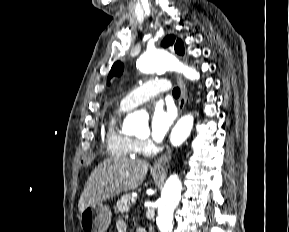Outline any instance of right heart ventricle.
Instances as JSON below:
<instances>
[{
	"label": "right heart ventricle",
	"instance_id": "obj_1",
	"mask_svg": "<svg viewBox=\"0 0 289 232\" xmlns=\"http://www.w3.org/2000/svg\"><path fill=\"white\" fill-rule=\"evenodd\" d=\"M128 109L121 104L117 106L109 115L106 130L107 150L112 156L123 158H134L138 152V140L119 128L120 117Z\"/></svg>",
	"mask_w": 289,
	"mask_h": 232
}]
</instances>
